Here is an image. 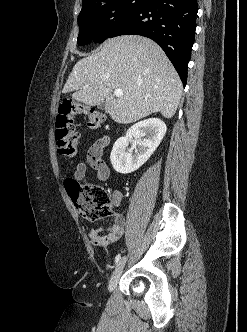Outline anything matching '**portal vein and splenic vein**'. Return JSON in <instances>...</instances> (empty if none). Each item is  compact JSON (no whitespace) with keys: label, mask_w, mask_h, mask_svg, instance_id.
I'll return each instance as SVG.
<instances>
[{"label":"portal vein and splenic vein","mask_w":247,"mask_h":332,"mask_svg":"<svg viewBox=\"0 0 247 332\" xmlns=\"http://www.w3.org/2000/svg\"><path fill=\"white\" fill-rule=\"evenodd\" d=\"M114 95L119 97V96H122L124 95L123 91L121 89H115L114 90Z\"/></svg>","instance_id":"18ae733b"}]
</instances>
